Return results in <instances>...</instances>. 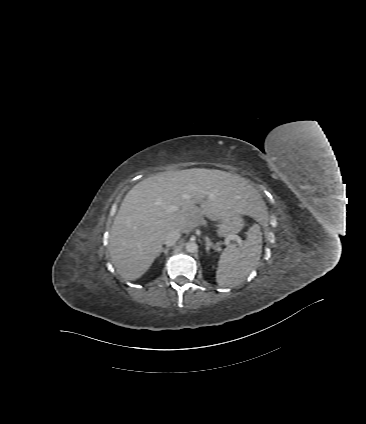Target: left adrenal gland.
Returning a JSON list of instances; mask_svg holds the SVG:
<instances>
[{
	"mask_svg": "<svg viewBox=\"0 0 366 424\" xmlns=\"http://www.w3.org/2000/svg\"><path fill=\"white\" fill-rule=\"evenodd\" d=\"M205 240H206V251L208 254L210 249H214L215 251H217L216 247L213 245V243L210 241L208 237H205Z\"/></svg>",
	"mask_w": 366,
	"mask_h": 424,
	"instance_id": "left-adrenal-gland-1",
	"label": "left adrenal gland"
}]
</instances>
